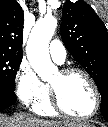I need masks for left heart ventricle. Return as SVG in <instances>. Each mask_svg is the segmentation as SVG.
<instances>
[{
    "label": "left heart ventricle",
    "instance_id": "b2bd125f",
    "mask_svg": "<svg viewBox=\"0 0 108 127\" xmlns=\"http://www.w3.org/2000/svg\"><path fill=\"white\" fill-rule=\"evenodd\" d=\"M57 87L64 107L72 114L86 115L94 107V94L87 80L80 74L62 77L59 72L50 81Z\"/></svg>",
    "mask_w": 108,
    "mask_h": 127
}]
</instances>
